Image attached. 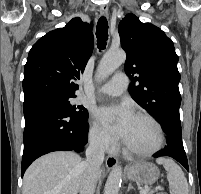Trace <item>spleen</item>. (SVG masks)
<instances>
[{
    "instance_id": "1",
    "label": "spleen",
    "mask_w": 201,
    "mask_h": 194,
    "mask_svg": "<svg viewBox=\"0 0 201 194\" xmlns=\"http://www.w3.org/2000/svg\"><path fill=\"white\" fill-rule=\"evenodd\" d=\"M156 162L166 169L172 194H188V183L182 169L169 158H158Z\"/></svg>"
}]
</instances>
